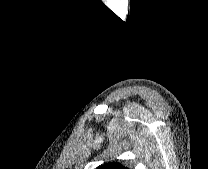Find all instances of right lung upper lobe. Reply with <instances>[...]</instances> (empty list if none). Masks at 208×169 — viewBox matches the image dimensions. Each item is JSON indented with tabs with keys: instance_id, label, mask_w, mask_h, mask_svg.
Listing matches in <instances>:
<instances>
[{
	"instance_id": "cb5924a9",
	"label": "right lung upper lobe",
	"mask_w": 208,
	"mask_h": 169,
	"mask_svg": "<svg viewBox=\"0 0 208 169\" xmlns=\"http://www.w3.org/2000/svg\"><path fill=\"white\" fill-rule=\"evenodd\" d=\"M97 169H128L127 167L122 166L119 163L109 162L99 166Z\"/></svg>"
}]
</instances>
